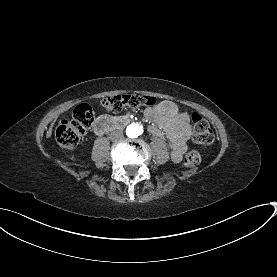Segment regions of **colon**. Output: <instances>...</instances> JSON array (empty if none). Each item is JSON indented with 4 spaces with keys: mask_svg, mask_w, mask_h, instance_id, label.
Wrapping results in <instances>:
<instances>
[{
    "mask_svg": "<svg viewBox=\"0 0 277 277\" xmlns=\"http://www.w3.org/2000/svg\"><path fill=\"white\" fill-rule=\"evenodd\" d=\"M155 99L148 95H115L105 97L98 101L99 108L112 112L115 108L121 111L125 107L138 108L142 106H152ZM80 107L76 109L71 118L63 120L57 131L56 139L65 149L75 148L86 130L92 125L94 111L88 107L89 102L83 99ZM192 137L196 143L209 144L214 141V133L209 123L201 116L192 119ZM201 162L199 152H189L185 155L184 163L189 167H196Z\"/></svg>",
    "mask_w": 277,
    "mask_h": 277,
    "instance_id": "obj_1",
    "label": "colon"
}]
</instances>
